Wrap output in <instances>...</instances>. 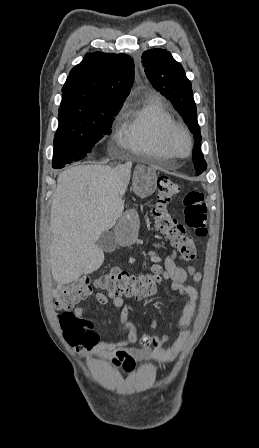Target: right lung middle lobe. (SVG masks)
I'll return each mask as SVG.
<instances>
[{"mask_svg":"<svg viewBox=\"0 0 259 448\" xmlns=\"http://www.w3.org/2000/svg\"><path fill=\"white\" fill-rule=\"evenodd\" d=\"M120 108L59 114L54 137L53 168L83 159L106 134Z\"/></svg>","mask_w":259,"mask_h":448,"instance_id":"dd1d6c3e","label":"right lung middle lobe"}]
</instances>
